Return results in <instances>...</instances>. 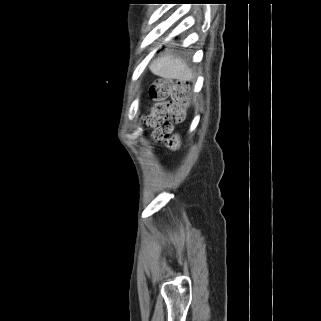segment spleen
<instances>
[{
	"mask_svg": "<svg viewBox=\"0 0 321 321\" xmlns=\"http://www.w3.org/2000/svg\"><path fill=\"white\" fill-rule=\"evenodd\" d=\"M149 68L154 75L165 79L190 81L193 78L189 66L179 57L172 55L158 57Z\"/></svg>",
	"mask_w": 321,
	"mask_h": 321,
	"instance_id": "spleen-1",
	"label": "spleen"
}]
</instances>
